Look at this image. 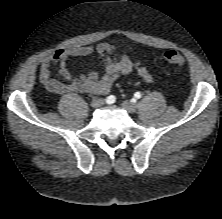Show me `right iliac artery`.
Returning a JSON list of instances; mask_svg holds the SVG:
<instances>
[{
    "instance_id": "right-iliac-artery-1",
    "label": "right iliac artery",
    "mask_w": 222,
    "mask_h": 219,
    "mask_svg": "<svg viewBox=\"0 0 222 219\" xmlns=\"http://www.w3.org/2000/svg\"><path fill=\"white\" fill-rule=\"evenodd\" d=\"M115 99H116L115 96L111 95V96L107 97L106 102L108 104H112L115 102Z\"/></svg>"
}]
</instances>
